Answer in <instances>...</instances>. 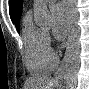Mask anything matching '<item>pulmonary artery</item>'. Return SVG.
<instances>
[{
	"instance_id": "obj_1",
	"label": "pulmonary artery",
	"mask_w": 89,
	"mask_h": 89,
	"mask_svg": "<svg viewBox=\"0 0 89 89\" xmlns=\"http://www.w3.org/2000/svg\"><path fill=\"white\" fill-rule=\"evenodd\" d=\"M44 2H49V3H50V2H52V1H51V0H48V1H44Z\"/></svg>"
}]
</instances>
